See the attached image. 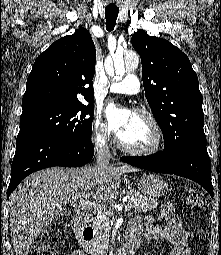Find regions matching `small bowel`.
I'll return each instance as SVG.
<instances>
[{"label": "small bowel", "instance_id": "1", "mask_svg": "<svg viewBox=\"0 0 221 255\" xmlns=\"http://www.w3.org/2000/svg\"><path fill=\"white\" fill-rule=\"evenodd\" d=\"M160 217L165 224H155L153 216H147L143 222L140 218H135L128 228L129 238L145 239L150 242L165 241L172 245L170 255H190L189 234L182 229L181 221L175 217L172 203L162 205ZM72 255L84 253L76 250Z\"/></svg>", "mask_w": 221, "mask_h": 255}]
</instances>
